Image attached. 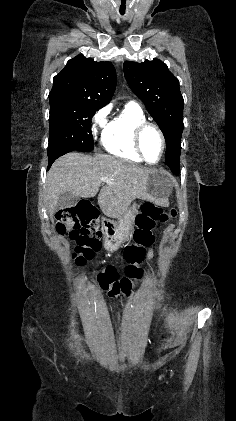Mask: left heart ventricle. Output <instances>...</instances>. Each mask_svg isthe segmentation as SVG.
I'll return each instance as SVG.
<instances>
[{
    "label": "left heart ventricle",
    "mask_w": 236,
    "mask_h": 421,
    "mask_svg": "<svg viewBox=\"0 0 236 421\" xmlns=\"http://www.w3.org/2000/svg\"><path fill=\"white\" fill-rule=\"evenodd\" d=\"M142 148L149 162L156 163L159 161L162 154V142L154 129L148 128L144 131Z\"/></svg>",
    "instance_id": "1"
}]
</instances>
